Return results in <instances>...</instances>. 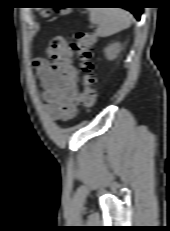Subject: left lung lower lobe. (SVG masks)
<instances>
[{
    "instance_id": "left-lung-lower-lobe-1",
    "label": "left lung lower lobe",
    "mask_w": 170,
    "mask_h": 231,
    "mask_svg": "<svg viewBox=\"0 0 170 231\" xmlns=\"http://www.w3.org/2000/svg\"><path fill=\"white\" fill-rule=\"evenodd\" d=\"M120 5H122V6H120L121 8H125V9L129 10L130 12H132L137 20H140V16L142 14V8L143 7L139 6L137 1L131 0L128 2L120 3Z\"/></svg>"
}]
</instances>
